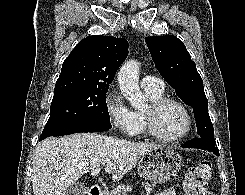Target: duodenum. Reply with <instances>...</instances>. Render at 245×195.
Wrapping results in <instances>:
<instances>
[{"label": "duodenum", "mask_w": 245, "mask_h": 195, "mask_svg": "<svg viewBox=\"0 0 245 195\" xmlns=\"http://www.w3.org/2000/svg\"><path fill=\"white\" fill-rule=\"evenodd\" d=\"M88 195H102V190L99 187L95 186L89 191Z\"/></svg>", "instance_id": "1"}]
</instances>
